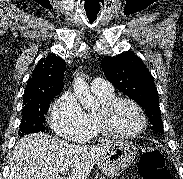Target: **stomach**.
<instances>
[{
    "instance_id": "obj_1",
    "label": "stomach",
    "mask_w": 183,
    "mask_h": 179,
    "mask_svg": "<svg viewBox=\"0 0 183 179\" xmlns=\"http://www.w3.org/2000/svg\"><path fill=\"white\" fill-rule=\"evenodd\" d=\"M136 147L132 142L118 140L111 142L99 159L102 172L108 177L122 173L133 162Z\"/></svg>"
}]
</instances>
